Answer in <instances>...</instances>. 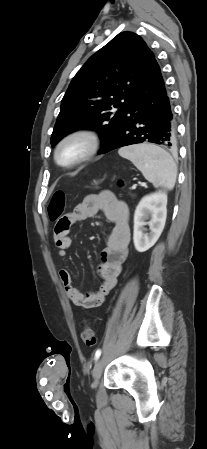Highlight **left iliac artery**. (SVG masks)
<instances>
[{
	"label": "left iliac artery",
	"instance_id": "44dca946",
	"mask_svg": "<svg viewBox=\"0 0 207 449\" xmlns=\"http://www.w3.org/2000/svg\"><path fill=\"white\" fill-rule=\"evenodd\" d=\"M100 356H101V350L98 349V350L95 352V360L99 359Z\"/></svg>",
	"mask_w": 207,
	"mask_h": 449
}]
</instances>
